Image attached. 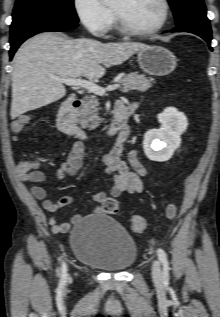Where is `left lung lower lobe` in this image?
I'll list each match as a JSON object with an SVG mask.
<instances>
[{
    "instance_id": "obj_1",
    "label": "left lung lower lobe",
    "mask_w": 220,
    "mask_h": 317,
    "mask_svg": "<svg viewBox=\"0 0 220 317\" xmlns=\"http://www.w3.org/2000/svg\"><path fill=\"white\" fill-rule=\"evenodd\" d=\"M176 31L189 32L200 36L208 43L210 49L212 50V47L210 46L212 35L209 20L203 21L198 17H193L184 23L177 25L176 28L171 30V32Z\"/></svg>"
}]
</instances>
